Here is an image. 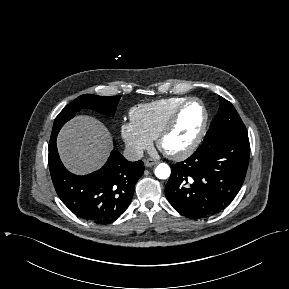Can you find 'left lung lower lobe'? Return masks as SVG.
<instances>
[{"mask_svg":"<svg viewBox=\"0 0 289 289\" xmlns=\"http://www.w3.org/2000/svg\"><path fill=\"white\" fill-rule=\"evenodd\" d=\"M249 155L247 133L219 131L205 136L188 159L172 165L165 186L168 201L190 219L220 212L239 192Z\"/></svg>","mask_w":289,"mask_h":289,"instance_id":"0a47b994","label":"left lung lower lobe"}]
</instances>
